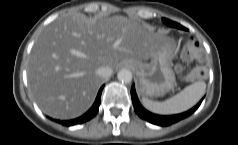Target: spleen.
Listing matches in <instances>:
<instances>
[{
	"mask_svg": "<svg viewBox=\"0 0 238 145\" xmlns=\"http://www.w3.org/2000/svg\"><path fill=\"white\" fill-rule=\"evenodd\" d=\"M205 90L206 83L197 81L163 102L152 101L143 97L142 103L147 110L156 114H177L193 107L202 98Z\"/></svg>",
	"mask_w": 238,
	"mask_h": 145,
	"instance_id": "spleen-1",
	"label": "spleen"
}]
</instances>
